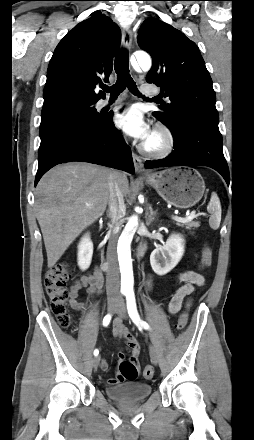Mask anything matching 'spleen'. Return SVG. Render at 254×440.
I'll return each instance as SVG.
<instances>
[{
	"instance_id": "1",
	"label": "spleen",
	"mask_w": 254,
	"mask_h": 440,
	"mask_svg": "<svg viewBox=\"0 0 254 440\" xmlns=\"http://www.w3.org/2000/svg\"><path fill=\"white\" fill-rule=\"evenodd\" d=\"M207 210L211 213L209 220L210 227L215 230L218 229L221 222V205L220 200L215 192H213L211 195Z\"/></svg>"
}]
</instances>
